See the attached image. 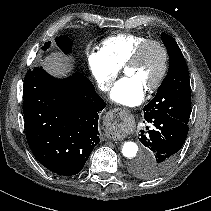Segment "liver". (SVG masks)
I'll return each mask as SVG.
<instances>
[{"label": "liver", "instance_id": "obj_1", "mask_svg": "<svg viewBox=\"0 0 211 211\" xmlns=\"http://www.w3.org/2000/svg\"><path fill=\"white\" fill-rule=\"evenodd\" d=\"M43 65L49 72L57 76H65L71 70L68 59L61 53L50 54L43 61Z\"/></svg>", "mask_w": 211, "mask_h": 211}]
</instances>
